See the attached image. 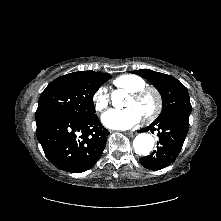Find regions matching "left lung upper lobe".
<instances>
[{
    "instance_id": "1",
    "label": "left lung upper lobe",
    "mask_w": 221,
    "mask_h": 221,
    "mask_svg": "<svg viewBox=\"0 0 221 221\" xmlns=\"http://www.w3.org/2000/svg\"><path fill=\"white\" fill-rule=\"evenodd\" d=\"M140 75L153 84L162 97V112L155 121L174 114L191 113V103L187 88L173 76L148 69L130 71Z\"/></svg>"
}]
</instances>
